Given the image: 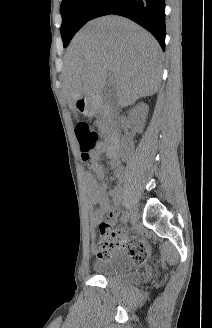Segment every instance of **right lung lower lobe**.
<instances>
[{
    "label": "right lung lower lobe",
    "mask_w": 212,
    "mask_h": 328,
    "mask_svg": "<svg viewBox=\"0 0 212 328\" xmlns=\"http://www.w3.org/2000/svg\"><path fill=\"white\" fill-rule=\"evenodd\" d=\"M109 14L135 21L151 32L165 51V0H101L91 19Z\"/></svg>",
    "instance_id": "obj_1"
}]
</instances>
